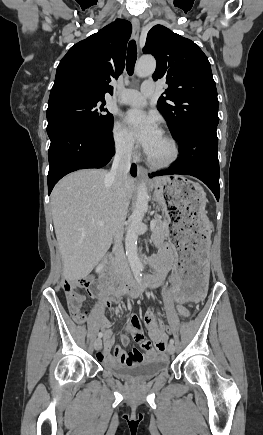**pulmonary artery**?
<instances>
[{"label":"pulmonary artery","mask_w":263,"mask_h":435,"mask_svg":"<svg viewBox=\"0 0 263 435\" xmlns=\"http://www.w3.org/2000/svg\"><path fill=\"white\" fill-rule=\"evenodd\" d=\"M155 91V86L152 82H144L141 90H125L122 92L119 101L122 104L143 107L147 104V98L150 97Z\"/></svg>","instance_id":"1"}]
</instances>
